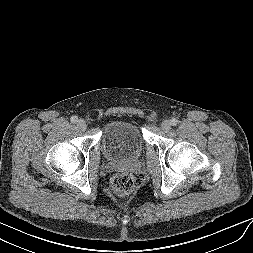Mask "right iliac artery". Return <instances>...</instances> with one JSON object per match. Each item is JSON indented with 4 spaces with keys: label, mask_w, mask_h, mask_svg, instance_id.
<instances>
[{
    "label": "right iliac artery",
    "mask_w": 253,
    "mask_h": 253,
    "mask_svg": "<svg viewBox=\"0 0 253 253\" xmlns=\"http://www.w3.org/2000/svg\"><path fill=\"white\" fill-rule=\"evenodd\" d=\"M70 120L72 123L78 122V118L76 116H72Z\"/></svg>",
    "instance_id": "right-iliac-artery-1"
}]
</instances>
